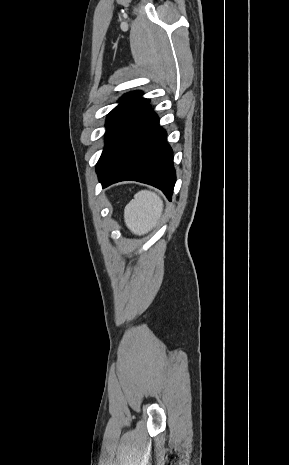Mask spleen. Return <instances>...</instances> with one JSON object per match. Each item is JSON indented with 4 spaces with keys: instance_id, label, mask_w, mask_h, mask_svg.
Here are the masks:
<instances>
[{
    "instance_id": "1",
    "label": "spleen",
    "mask_w": 289,
    "mask_h": 465,
    "mask_svg": "<svg viewBox=\"0 0 289 465\" xmlns=\"http://www.w3.org/2000/svg\"><path fill=\"white\" fill-rule=\"evenodd\" d=\"M163 201L154 192L141 190L124 209V221L128 229L141 236L153 229L161 218Z\"/></svg>"
}]
</instances>
